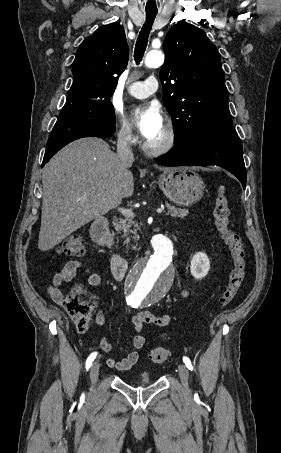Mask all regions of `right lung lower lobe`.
<instances>
[{"instance_id": "1", "label": "right lung lower lobe", "mask_w": 281, "mask_h": 453, "mask_svg": "<svg viewBox=\"0 0 281 453\" xmlns=\"http://www.w3.org/2000/svg\"><path fill=\"white\" fill-rule=\"evenodd\" d=\"M115 131V116L110 101L65 104L50 134L42 167L62 147L82 137L105 138Z\"/></svg>"}]
</instances>
